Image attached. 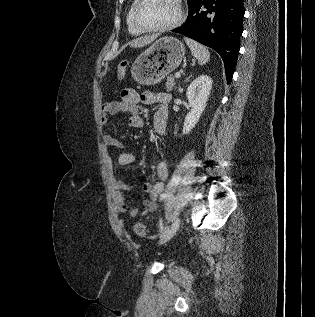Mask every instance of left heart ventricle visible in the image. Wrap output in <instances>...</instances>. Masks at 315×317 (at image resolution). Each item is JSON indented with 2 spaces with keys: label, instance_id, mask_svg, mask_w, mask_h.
Masks as SVG:
<instances>
[{
  "label": "left heart ventricle",
  "instance_id": "1",
  "mask_svg": "<svg viewBox=\"0 0 315 317\" xmlns=\"http://www.w3.org/2000/svg\"><path fill=\"white\" fill-rule=\"evenodd\" d=\"M178 13L176 0H144L137 19L143 27H159L172 22Z\"/></svg>",
  "mask_w": 315,
  "mask_h": 317
}]
</instances>
